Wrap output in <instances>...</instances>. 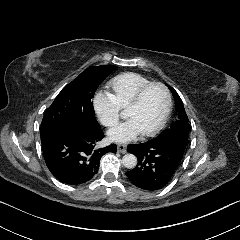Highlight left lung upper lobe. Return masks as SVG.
I'll use <instances>...</instances> for the list:
<instances>
[{"label": "left lung upper lobe", "mask_w": 240, "mask_h": 240, "mask_svg": "<svg viewBox=\"0 0 240 240\" xmlns=\"http://www.w3.org/2000/svg\"><path fill=\"white\" fill-rule=\"evenodd\" d=\"M171 90L174 100L176 103V109L178 112V119L171 125V127L167 130H164L159 134L156 138L152 139H179L187 143L190 126L188 123V117L185 112V108L183 102L178 95V93L170 86H168Z\"/></svg>", "instance_id": "1"}]
</instances>
